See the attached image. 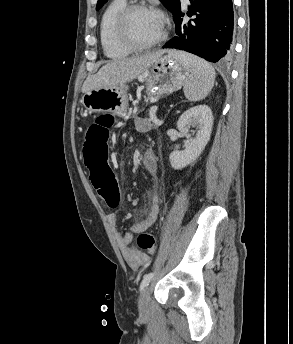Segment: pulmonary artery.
I'll return each instance as SVG.
<instances>
[{
	"label": "pulmonary artery",
	"mask_w": 293,
	"mask_h": 344,
	"mask_svg": "<svg viewBox=\"0 0 293 344\" xmlns=\"http://www.w3.org/2000/svg\"><path fill=\"white\" fill-rule=\"evenodd\" d=\"M181 2H182L183 4H188V3H189V0H181Z\"/></svg>",
	"instance_id": "obj_1"
}]
</instances>
